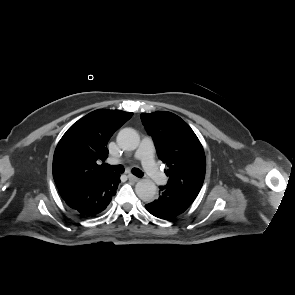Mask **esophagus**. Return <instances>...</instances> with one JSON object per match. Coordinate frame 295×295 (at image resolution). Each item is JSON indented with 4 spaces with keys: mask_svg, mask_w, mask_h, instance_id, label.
I'll return each mask as SVG.
<instances>
[{
    "mask_svg": "<svg viewBox=\"0 0 295 295\" xmlns=\"http://www.w3.org/2000/svg\"><path fill=\"white\" fill-rule=\"evenodd\" d=\"M128 178L131 182H138L140 179L132 174L128 175Z\"/></svg>",
    "mask_w": 295,
    "mask_h": 295,
    "instance_id": "obj_1",
    "label": "esophagus"
}]
</instances>
